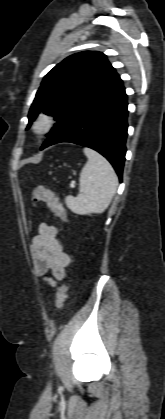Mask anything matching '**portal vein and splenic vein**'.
<instances>
[{"label":"portal vein and splenic vein","instance_id":"1","mask_svg":"<svg viewBox=\"0 0 165 419\" xmlns=\"http://www.w3.org/2000/svg\"><path fill=\"white\" fill-rule=\"evenodd\" d=\"M70 186H71V187H74V183H73V182H71V183H70Z\"/></svg>","mask_w":165,"mask_h":419}]
</instances>
